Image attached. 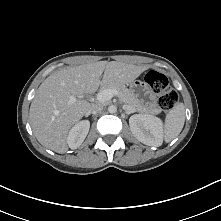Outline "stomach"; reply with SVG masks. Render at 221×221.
I'll use <instances>...</instances> for the list:
<instances>
[{
    "label": "stomach",
    "instance_id": "1",
    "mask_svg": "<svg viewBox=\"0 0 221 221\" xmlns=\"http://www.w3.org/2000/svg\"><path fill=\"white\" fill-rule=\"evenodd\" d=\"M129 89L131 93L139 100L142 106H146V97L148 92V86L141 80H134L129 83Z\"/></svg>",
    "mask_w": 221,
    "mask_h": 221
}]
</instances>
